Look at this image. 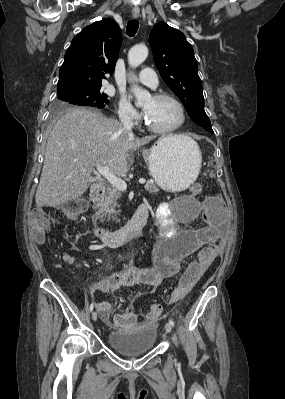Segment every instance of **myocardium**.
<instances>
[{
    "label": "myocardium",
    "instance_id": "f54148a6",
    "mask_svg": "<svg viewBox=\"0 0 285 399\" xmlns=\"http://www.w3.org/2000/svg\"><path fill=\"white\" fill-rule=\"evenodd\" d=\"M153 99L154 100H172L173 102H175L179 106L182 117H181L180 122L177 125L173 126V127L159 128V127L154 126L147 119V117L145 116L144 117V122H145L146 127L150 131L155 132V133H160V134H168V133H172V132H175V131L179 130L184 125V123L186 121V117H187L186 109H185V106H184L183 102L179 98H177L176 96L168 94V93H159V94L155 95L153 97Z\"/></svg>",
    "mask_w": 285,
    "mask_h": 399
}]
</instances>
